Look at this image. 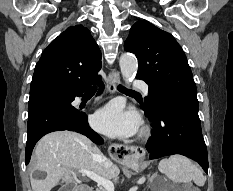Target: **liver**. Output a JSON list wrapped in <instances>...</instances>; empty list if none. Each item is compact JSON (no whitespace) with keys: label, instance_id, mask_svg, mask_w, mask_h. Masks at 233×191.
<instances>
[{"label":"liver","instance_id":"obj_1","mask_svg":"<svg viewBox=\"0 0 233 191\" xmlns=\"http://www.w3.org/2000/svg\"><path fill=\"white\" fill-rule=\"evenodd\" d=\"M99 148L85 136L72 131H55L43 136L34 149L33 170L45 171V179L30 176L33 191H51L62 183H74L75 170H89L109 180L116 178L120 170L116 165L105 168L100 160Z\"/></svg>","mask_w":233,"mask_h":191}]
</instances>
